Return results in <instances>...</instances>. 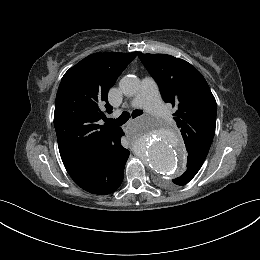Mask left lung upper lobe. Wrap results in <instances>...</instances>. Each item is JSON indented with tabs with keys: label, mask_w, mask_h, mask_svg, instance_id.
<instances>
[{
	"label": "left lung upper lobe",
	"mask_w": 260,
	"mask_h": 260,
	"mask_svg": "<svg viewBox=\"0 0 260 260\" xmlns=\"http://www.w3.org/2000/svg\"><path fill=\"white\" fill-rule=\"evenodd\" d=\"M138 56L157 81L164 100L176 106L188 157L204 162L215 134L217 105L201 73L185 60L166 54Z\"/></svg>",
	"instance_id": "obj_1"
}]
</instances>
